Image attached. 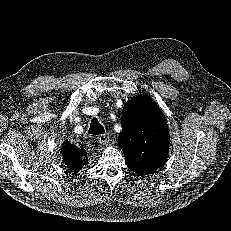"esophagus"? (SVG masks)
Here are the masks:
<instances>
[{
	"mask_svg": "<svg viewBox=\"0 0 231 231\" xmlns=\"http://www.w3.org/2000/svg\"><path fill=\"white\" fill-rule=\"evenodd\" d=\"M98 142L102 145H107L109 143L110 137L109 134H102L98 136Z\"/></svg>",
	"mask_w": 231,
	"mask_h": 231,
	"instance_id": "1",
	"label": "esophagus"
}]
</instances>
